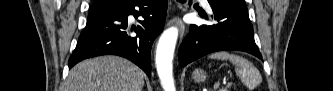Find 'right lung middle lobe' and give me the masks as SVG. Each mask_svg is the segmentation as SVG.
<instances>
[{"label":"right lung middle lobe","mask_w":333,"mask_h":91,"mask_svg":"<svg viewBox=\"0 0 333 91\" xmlns=\"http://www.w3.org/2000/svg\"><path fill=\"white\" fill-rule=\"evenodd\" d=\"M123 2L124 1H109V2H106V3H97V2H94L93 6H92V11H94V10L95 11H98V10L102 11L101 9L104 8V7H121V4Z\"/></svg>","instance_id":"dd1d6c3e"}]
</instances>
